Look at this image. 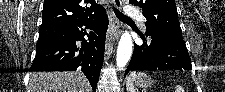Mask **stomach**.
Segmentation results:
<instances>
[{"instance_id": "1", "label": "stomach", "mask_w": 225, "mask_h": 92, "mask_svg": "<svg viewBox=\"0 0 225 92\" xmlns=\"http://www.w3.org/2000/svg\"><path fill=\"white\" fill-rule=\"evenodd\" d=\"M134 84L138 87L147 88V87L151 86L152 80L145 73H137L136 77L134 79Z\"/></svg>"}]
</instances>
